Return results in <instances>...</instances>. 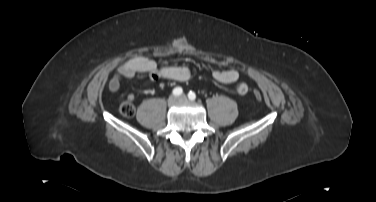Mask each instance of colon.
Masks as SVG:
<instances>
[{
    "label": "colon",
    "instance_id": "obj_1",
    "mask_svg": "<svg viewBox=\"0 0 376 202\" xmlns=\"http://www.w3.org/2000/svg\"><path fill=\"white\" fill-rule=\"evenodd\" d=\"M254 95H255V98L257 100L262 99V95L259 91H256L254 93ZM120 112H121L122 115L127 116V117L133 116L134 113H135V106H134L133 102L131 100H128V99L125 102H123L120 105Z\"/></svg>",
    "mask_w": 376,
    "mask_h": 202
}]
</instances>
